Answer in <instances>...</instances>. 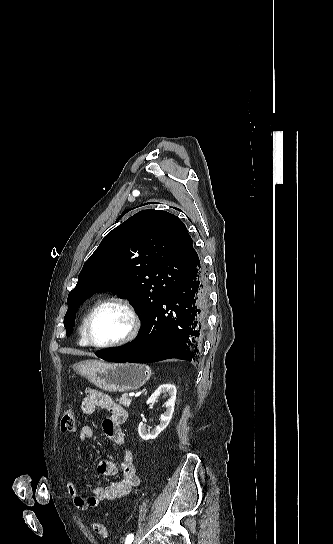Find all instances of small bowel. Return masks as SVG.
Returning a JSON list of instances; mask_svg holds the SVG:
<instances>
[{"mask_svg":"<svg viewBox=\"0 0 333 544\" xmlns=\"http://www.w3.org/2000/svg\"><path fill=\"white\" fill-rule=\"evenodd\" d=\"M97 408L105 409L109 413V416L103 421L102 429L110 441L121 447L120 468L111 461L101 460L97 467L98 472L104 476L112 477L113 480L94 487L87 497L79 493L73 481H69L67 485L68 494L79 511L95 508L101 501L121 498L139 484L134 455L132 450L124 445L125 437L121 429V425L127 419L126 410L108 394L91 388L86 389L81 404L82 413L90 415ZM92 436L93 430L91 427L84 426L80 430L79 438L81 441L88 440Z\"/></svg>","mask_w":333,"mask_h":544,"instance_id":"obj_1","label":"small bowel"}]
</instances>
